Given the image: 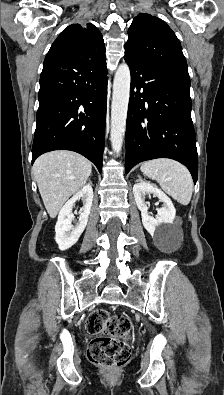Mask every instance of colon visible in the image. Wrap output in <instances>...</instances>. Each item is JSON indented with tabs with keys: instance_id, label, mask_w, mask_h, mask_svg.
<instances>
[{
	"instance_id": "1",
	"label": "colon",
	"mask_w": 224,
	"mask_h": 395,
	"mask_svg": "<svg viewBox=\"0 0 224 395\" xmlns=\"http://www.w3.org/2000/svg\"><path fill=\"white\" fill-rule=\"evenodd\" d=\"M88 333L96 335L91 341L90 361L105 368H119L131 357V343L126 337L131 331V321L126 316L109 315L103 309L92 311L85 321Z\"/></svg>"
}]
</instances>
